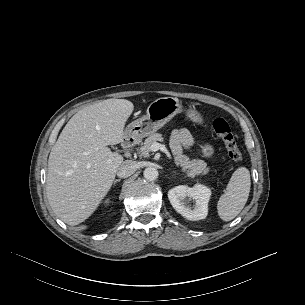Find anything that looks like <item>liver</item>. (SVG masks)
I'll list each match as a JSON object with an SVG mask.
<instances>
[{
	"label": "liver",
	"instance_id": "obj_1",
	"mask_svg": "<svg viewBox=\"0 0 305 305\" xmlns=\"http://www.w3.org/2000/svg\"><path fill=\"white\" fill-rule=\"evenodd\" d=\"M134 110L126 99H107L78 111L51 149L46 179L47 198L66 224L84 222L114 181L123 157L107 146L124 139Z\"/></svg>",
	"mask_w": 305,
	"mask_h": 305
}]
</instances>
